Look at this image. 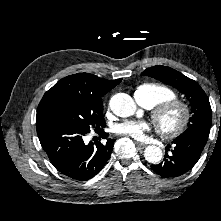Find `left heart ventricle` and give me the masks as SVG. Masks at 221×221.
<instances>
[{
	"label": "left heart ventricle",
	"mask_w": 221,
	"mask_h": 221,
	"mask_svg": "<svg viewBox=\"0 0 221 221\" xmlns=\"http://www.w3.org/2000/svg\"><path fill=\"white\" fill-rule=\"evenodd\" d=\"M177 117L178 116L175 111H170L164 115L162 122L165 126L169 127L176 122Z\"/></svg>",
	"instance_id": "left-heart-ventricle-1"
}]
</instances>
